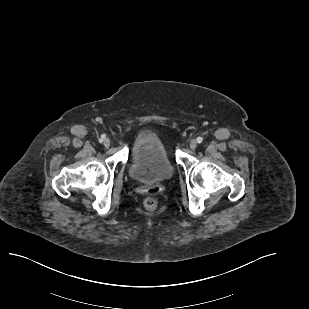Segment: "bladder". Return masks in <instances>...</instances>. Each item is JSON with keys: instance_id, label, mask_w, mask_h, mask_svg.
I'll return each mask as SVG.
<instances>
[{"instance_id": "1", "label": "bladder", "mask_w": 309, "mask_h": 309, "mask_svg": "<svg viewBox=\"0 0 309 309\" xmlns=\"http://www.w3.org/2000/svg\"><path fill=\"white\" fill-rule=\"evenodd\" d=\"M174 167L162 141L153 135L139 137L131 149L129 175L136 182L153 184L172 178Z\"/></svg>"}]
</instances>
